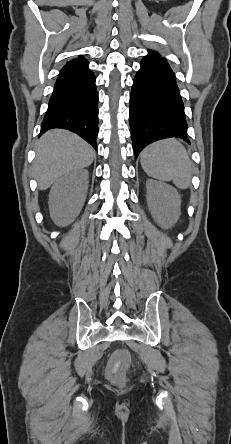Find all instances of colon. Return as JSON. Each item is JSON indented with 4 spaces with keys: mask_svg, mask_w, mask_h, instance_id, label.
<instances>
[{
    "mask_svg": "<svg viewBox=\"0 0 231 444\" xmlns=\"http://www.w3.org/2000/svg\"><path fill=\"white\" fill-rule=\"evenodd\" d=\"M130 355L125 350L116 351L109 360L107 366L108 377L116 382L122 383L125 372L129 366Z\"/></svg>",
    "mask_w": 231,
    "mask_h": 444,
    "instance_id": "obj_1",
    "label": "colon"
}]
</instances>
